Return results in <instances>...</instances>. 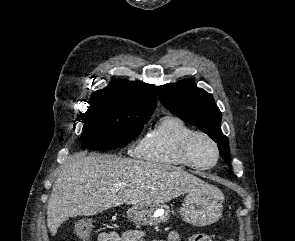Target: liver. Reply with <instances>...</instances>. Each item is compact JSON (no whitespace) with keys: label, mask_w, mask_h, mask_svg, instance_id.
Listing matches in <instances>:
<instances>
[{"label":"liver","mask_w":295,"mask_h":241,"mask_svg":"<svg viewBox=\"0 0 295 241\" xmlns=\"http://www.w3.org/2000/svg\"><path fill=\"white\" fill-rule=\"evenodd\" d=\"M125 184L123 189H116ZM200 178L167 164L112 155L76 154L62 166L47 206V226L54 236L70 217L91 216L112 207L158 205L202 190Z\"/></svg>","instance_id":"6515ba94"}]
</instances>
